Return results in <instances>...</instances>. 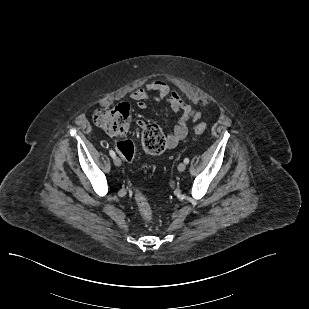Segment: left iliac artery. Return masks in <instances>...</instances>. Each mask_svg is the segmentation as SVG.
<instances>
[{"mask_svg":"<svg viewBox=\"0 0 309 309\" xmlns=\"http://www.w3.org/2000/svg\"><path fill=\"white\" fill-rule=\"evenodd\" d=\"M184 163H185V164H188V163H189V159H188V158H185V159H184Z\"/></svg>","mask_w":309,"mask_h":309,"instance_id":"1","label":"left iliac artery"}]
</instances>
